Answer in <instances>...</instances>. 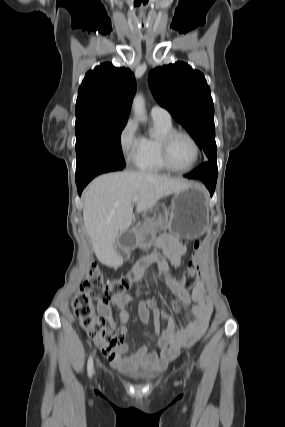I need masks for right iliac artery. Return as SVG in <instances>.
<instances>
[{
  "label": "right iliac artery",
  "mask_w": 285,
  "mask_h": 427,
  "mask_svg": "<svg viewBox=\"0 0 285 427\" xmlns=\"http://www.w3.org/2000/svg\"><path fill=\"white\" fill-rule=\"evenodd\" d=\"M87 371H88V375L91 377L93 374V358H92V356L89 357L88 364H87Z\"/></svg>",
  "instance_id": "right-iliac-artery-1"
}]
</instances>
